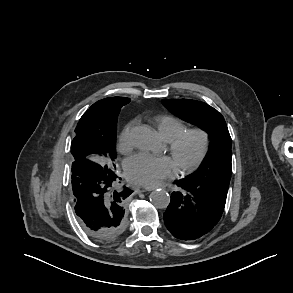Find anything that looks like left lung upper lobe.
Listing matches in <instances>:
<instances>
[{
    "label": "left lung upper lobe",
    "mask_w": 293,
    "mask_h": 293,
    "mask_svg": "<svg viewBox=\"0 0 293 293\" xmlns=\"http://www.w3.org/2000/svg\"><path fill=\"white\" fill-rule=\"evenodd\" d=\"M163 105L181 119L205 130L211 139L210 154L203 168L188 176L202 183L229 184L232 140L224 117L208 104L190 99H163Z\"/></svg>",
    "instance_id": "5c2ea615"
}]
</instances>
